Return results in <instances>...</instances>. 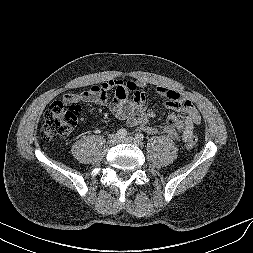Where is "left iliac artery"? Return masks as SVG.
<instances>
[{
  "mask_svg": "<svg viewBox=\"0 0 253 253\" xmlns=\"http://www.w3.org/2000/svg\"><path fill=\"white\" fill-rule=\"evenodd\" d=\"M135 138L138 140V141H140V142H142L143 140H144V135L142 134V133H137L136 135H135Z\"/></svg>",
  "mask_w": 253,
  "mask_h": 253,
  "instance_id": "1",
  "label": "left iliac artery"
}]
</instances>
